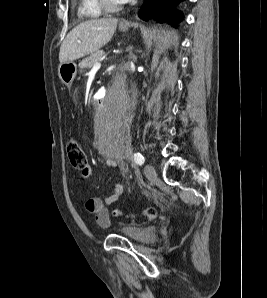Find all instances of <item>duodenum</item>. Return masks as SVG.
<instances>
[{
	"mask_svg": "<svg viewBox=\"0 0 267 298\" xmlns=\"http://www.w3.org/2000/svg\"><path fill=\"white\" fill-rule=\"evenodd\" d=\"M92 104V115H98V112H103L104 105H109L107 98H94Z\"/></svg>",
	"mask_w": 267,
	"mask_h": 298,
	"instance_id": "obj_1",
	"label": "duodenum"
}]
</instances>
